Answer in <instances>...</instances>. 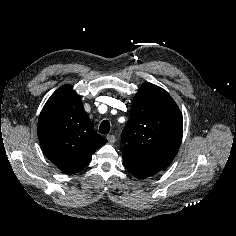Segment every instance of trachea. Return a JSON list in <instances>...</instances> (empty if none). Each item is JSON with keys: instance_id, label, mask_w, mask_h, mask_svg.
Here are the masks:
<instances>
[{"instance_id": "3493384b", "label": "trachea", "mask_w": 236, "mask_h": 236, "mask_svg": "<svg viewBox=\"0 0 236 236\" xmlns=\"http://www.w3.org/2000/svg\"><path fill=\"white\" fill-rule=\"evenodd\" d=\"M110 131V122L108 120H104L101 122L99 127V133L101 134H108Z\"/></svg>"}]
</instances>
